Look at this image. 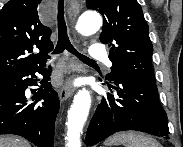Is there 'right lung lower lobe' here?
<instances>
[{"mask_svg":"<svg viewBox=\"0 0 183 147\" xmlns=\"http://www.w3.org/2000/svg\"><path fill=\"white\" fill-rule=\"evenodd\" d=\"M45 66L46 63L0 79V135L15 134L37 147H53L60 103ZM35 72L43 74L44 80L40 89L32 90V93L37 92L31 102L25 97V90L35 84ZM42 99L44 101L40 102Z\"/></svg>","mask_w":183,"mask_h":147,"instance_id":"98d812e1","label":"right lung lower lobe"}]
</instances>
